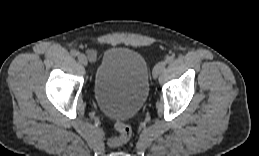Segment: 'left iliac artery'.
<instances>
[{
	"label": "left iliac artery",
	"mask_w": 259,
	"mask_h": 156,
	"mask_svg": "<svg viewBox=\"0 0 259 156\" xmlns=\"http://www.w3.org/2000/svg\"><path fill=\"white\" fill-rule=\"evenodd\" d=\"M173 60H174L173 56H168V57H166L165 62L166 63H171Z\"/></svg>",
	"instance_id": "left-iliac-artery-1"
}]
</instances>
